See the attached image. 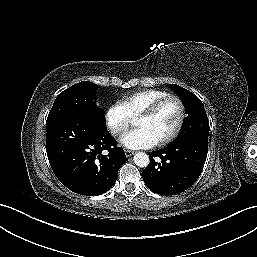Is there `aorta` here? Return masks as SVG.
Masks as SVG:
<instances>
[{
	"label": "aorta",
	"instance_id": "762f6f07",
	"mask_svg": "<svg viewBox=\"0 0 257 257\" xmlns=\"http://www.w3.org/2000/svg\"><path fill=\"white\" fill-rule=\"evenodd\" d=\"M149 162H150L149 156L144 152H137L134 155V163L138 167H147Z\"/></svg>",
	"mask_w": 257,
	"mask_h": 257
}]
</instances>
